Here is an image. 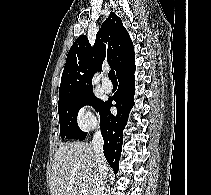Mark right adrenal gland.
I'll use <instances>...</instances> for the list:
<instances>
[{"label":"right adrenal gland","instance_id":"2a0ac1e0","mask_svg":"<svg viewBox=\"0 0 211 195\" xmlns=\"http://www.w3.org/2000/svg\"><path fill=\"white\" fill-rule=\"evenodd\" d=\"M108 189L106 188L104 195H107Z\"/></svg>","mask_w":211,"mask_h":195}]
</instances>
